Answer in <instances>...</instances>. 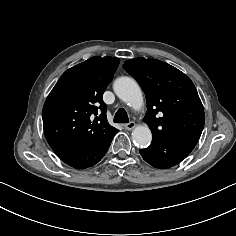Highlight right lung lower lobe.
Here are the masks:
<instances>
[{"mask_svg":"<svg viewBox=\"0 0 236 236\" xmlns=\"http://www.w3.org/2000/svg\"><path fill=\"white\" fill-rule=\"evenodd\" d=\"M117 132L118 130H115L96 144H59L51 147L63 162L73 168L84 169L95 165L103 158Z\"/></svg>","mask_w":236,"mask_h":236,"instance_id":"right-lung-lower-lobe-1","label":"right lung lower lobe"}]
</instances>
